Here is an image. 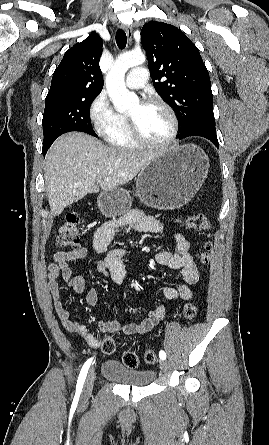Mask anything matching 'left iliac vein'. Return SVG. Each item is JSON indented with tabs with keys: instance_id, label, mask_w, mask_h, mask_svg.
Returning a JSON list of instances; mask_svg holds the SVG:
<instances>
[{
	"instance_id": "obj_1",
	"label": "left iliac vein",
	"mask_w": 269,
	"mask_h": 445,
	"mask_svg": "<svg viewBox=\"0 0 269 445\" xmlns=\"http://www.w3.org/2000/svg\"><path fill=\"white\" fill-rule=\"evenodd\" d=\"M160 368L163 372H167L168 370V363L166 360L162 359L160 360Z\"/></svg>"
}]
</instances>
